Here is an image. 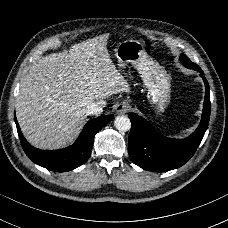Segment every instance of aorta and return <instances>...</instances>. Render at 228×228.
Instances as JSON below:
<instances>
[{
    "instance_id": "1",
    "label": "aorta",
    "mask_w": 228,
    "mask_h": 228,
    "mask_svg": "<svg viewBox=\"0 0 228 228\" xmlns=\"http://www.w3.org/2000/svg\"><path fill=\"white\" fill-rule=\"evenodd\" d=\"M114 126L120 132H128L131 129V121L127 116H118L115 119Z\"/></svg>"
}]
</instances>
